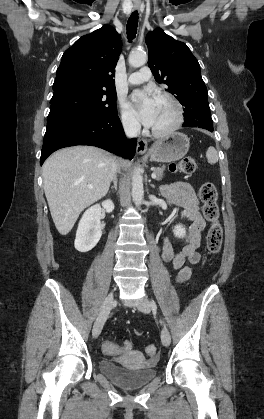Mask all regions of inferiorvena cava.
I'll return each instance as SVG.
<instances>
[{
  "label": "inferior vena cava",
  "mask_w": 264,
  "mask_h": 419,
  "mask_svg": "<svg viewBox=\"0 0 264 419\" xmlns=\"http://www.w3.org/2000/svg\"><path fill=\"white\" fill-rule=\"evenodd\" d=\"M123 128L125 131V134L129 138L137 137V135L140 133L141 125L140 123L133 119V118H127L123 120ZM120 167L119 160L115 159L112 165V178H116V173Z\"/></svg>",
  "instance_id": "602c4592"
}]
</instances>
